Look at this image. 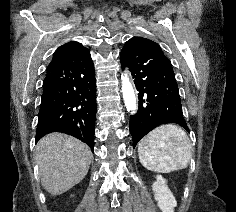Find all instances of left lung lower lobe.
Instances as JSON below:
<instances>
[{"instance_id": "obj_1", "label": "left lung lower lobe", "mask_w": 236, "mask_h": 212, "mask_svg": "<svg viewBox=\"0 0 236 212\" xmlns=\"http://www.w3.org/2000/svg\"><path fill=\"white\" fill-rule=\"evenodd\" d=\"M122 68L128 67L134 78L139 107L130 117L134 147L159 125L176 123L189 132L170 60L161 47L143 37L129 39L120 53Z\"/></svg>"}]
</instances>
